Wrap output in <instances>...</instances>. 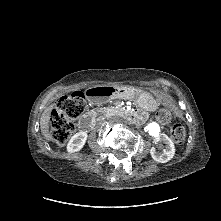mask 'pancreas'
<instances>
[{
    "label": "pancreas",
    "instance_id": "pancreas-1",
    "mask_svg": "<svg viewBox=\"0 0 221 221\" xmlns=\"http://www.w3.org/2000/svg\"><path fill=\"white\" fill-rule=\"evenodd\" d=\"M107 113H109L110 112V110H108V111H106Z\"/></svg>",
    "mask_w": 221,
    "mask_h": 221
}]
</instances>
